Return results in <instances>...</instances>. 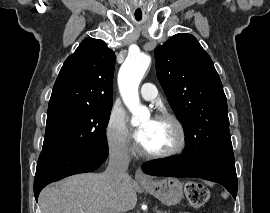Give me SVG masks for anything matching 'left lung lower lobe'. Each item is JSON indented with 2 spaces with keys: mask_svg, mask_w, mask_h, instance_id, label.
<instances>
[{
  "mask_svg": "<svg viewBox=\"0 0 270 213\" xmlns=\"http://www.w3.org/2000/svg\"><path fill=\"white\" fill-rule=\"evenodd\" d=\"M143 171L155 176L200 177L220 183L232 194L234 199L237 195L234 155L204 158L190 143H186L183 154L149 161L143 165Z\"/></svg>",
  "mask_w": 270,
  "mask_h": 213,
  "instance_id": "1",
  "label": "left lung lower lobe"
}]
</instances>
